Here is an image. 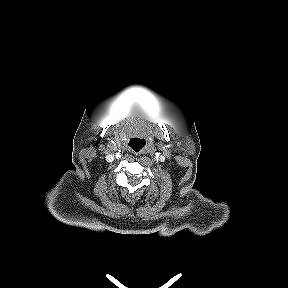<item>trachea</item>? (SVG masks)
<instances>
[{
	"label": "trachea",
	"instance_id": "obj_1",
	"mask_svg": "<svg viewBox=\"0 0 288 288\" xmlns=\"http://www.w3.org/2000/svg\"><path fill=\"white\" fill-rule=\"evenodd\" d=\"M128 145L134 153H140L144 150L146 141L138 137H133L129 140Z\"/></svg>",
	"mask_w": 288,
	"mask_h": 288
}]
</instances>
